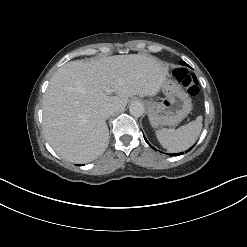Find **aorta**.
<instances>
[{
  "instance_id": "762f6f07",
  "label": "aorta",
  "mask_w": 247,
  "mask_h": 247,
  "mask_svg": "<svg viewBox=\"0 0 247 247\" xmlns=\"http://www.w3.org/2000/svg\"><path fill=\"white\" fill-rule=\"evenodd\" d=\"M129 112L134 117H140L144 113V106L141 102H133L130 104Z\"/></svg>"
}]
</instances>
